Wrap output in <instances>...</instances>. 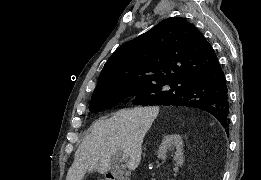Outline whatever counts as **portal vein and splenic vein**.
<instances>
[{
	"instance_id": "18ae733b",
	"label": "portal vein and splenic vein",
	"mask_w": 261,
	"mask_h": 180,
	"mask_svg": "<svg viewBox=\"0 0 261 180\" xmlns=\"http://www.w3.org/2000/svg\"><path fill=\"white\" fill-rule=\"evenodd\" d=\"M127 158H128L127 154H122L121 162H127Z\"/></svg>"
}]
</instances>
